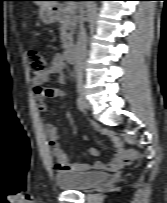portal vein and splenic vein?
<instances>
[{"instance_id":"portal-vein-and-splenic-vein-1","label":"portal vein and splenic vein","mask_w":167,"mask_h":203,"mask_svg":"<svg viewBox=\"0 0 167 203\" xmlns=\"http://www.w3.org/2000/svg\"><path fill=\"white\" fill-rule=\"evenodd\" d=\"M66 10L73 12L75 10V5L74 4H68L66 7Z\"/></svg>"}]
</instances>
